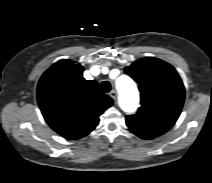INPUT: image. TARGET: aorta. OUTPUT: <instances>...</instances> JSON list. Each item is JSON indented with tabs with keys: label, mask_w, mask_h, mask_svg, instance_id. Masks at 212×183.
Returning <instances> with one entry per match:
<instances>
[{
	"label": "aorta",
	"mask_w": 212,
	"mask_h": 183,
	"mask_svg": "<svg viewBox=\"0 0 212 183\" xmlns=\"http://www.w3.org/2000/svg\"><path fill=\"white\" fill-rule=\"evenodd\" d=\"M121 107L128 112H133L139 103V93L134 81L126 76L120 75L116 80Z\"/></svg>",
	"instance_id": "1"
}]
</instances>
